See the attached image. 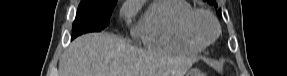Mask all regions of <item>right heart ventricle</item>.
<instances>
[{
	"instance_id": "right-heart-ventricle-1",
	"label": "right heart ventricle",
	"mask_w": 287,
	"mask_h": 76,
	"mask_svg": "<svg viewBox=\"0 0 287 76\" xmlns=\"http://www.w3.org/2000/svg\"><path fill=\"white\" fill-rule=\"evenodd\" d=\"M193 10L185 0H159L144 13L135 35L153 50L194 54L204 48L191 41L185 33L186 16Z\"/></svg>"
}]
</instances>
